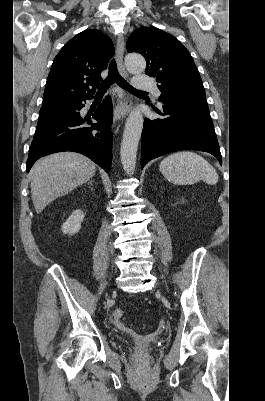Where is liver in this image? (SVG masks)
<instances>
[{"label":"liver","mask_w":265,"mask_h":401,"mask_svg":"<svg viewBox=\"0 0 265 401\" xmlns=\"http://www.w3.org/2000/svg\"><path fill=\"white\" fill-rule=\"evenodd\" d=\"M95 170L94 162L77 152H56L37 160L30 170L31 196L37 215L58 196L90 180Z\"/></svg>","instance_id":"6515ba94"}]
</instances>
